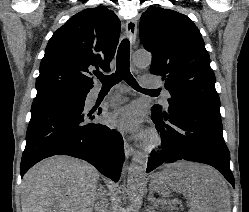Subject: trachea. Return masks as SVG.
<instances>
[{"mask_svg": "<svg viewBox=\"0 0 249 212\" xmlns=\"http://www.w3.org/2000/svg\"><path fill=\"white\" fill-rule=\"evenodd\" d=\"M130 43L129 40H123L117 52L116 72L111 75L97 74V78L102 83V88H111L113 85L125 80L135 90H152L142 89L130 73Z\"/></svg>", "mask_w": 249, "mask_h": 212, "instance_id": "obj_1", "label": "trachea"}]
</instances>
